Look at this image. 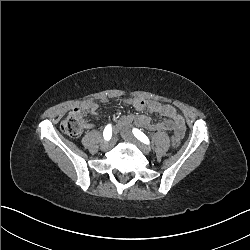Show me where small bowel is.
<instances>
[{
	"label": "small bowel",
	"instance_id": "1",
	"mask_svg": "<svg viewBox=\"0 0 250 250\" xmlns=\"http://www.w3.org/2000/svg\"><path fill=\"white\" fill-rule=\"evenodd\" d=\"M126 103L132 104L137 110H148L154 114H160L165 117L163 121H153L146 115H126L122 118L121 124L129 126L131 123H136L138 126L150 131H178L183 137L186 127L183 116L171 105L162 104L155 100L145 101L141 98L127 100ZM84 113L98 114V106L93 101H88L81 106ZM92 127V125H89Z\"/></svg>",
	"mask_w": 250,
	"mask_h": 250
}]
</instances>
